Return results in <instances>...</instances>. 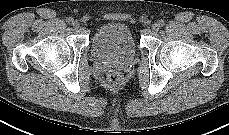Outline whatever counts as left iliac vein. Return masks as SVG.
I'll return each instance as SVG.
<instances>
[{
    "mask_svg": "<svg viewBox=\"0 0 229 135\" xmlns=\"http://www.w3.org/2000/svg\"><path fill=\"white\" fill-rule=\"evenodd\" d=\"M152 29H153V31H158L159 29H160V25H159V23H154L153 25H152Z\"/></svg>",
    "mask_w": 229,
    "mask_h": 135,
    "instance_id": "obj_1",
    "label": "left iliac vein"
}]
</instances>
